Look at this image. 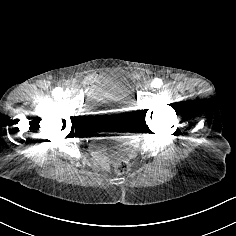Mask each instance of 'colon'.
Masks as SVG:
<instances>
[{
  "instance_id": "1",
  "label": "colon",
  "mask_w": 236,
  "mask_h": 236,
  "mask_svg": "<svg viewBox=\"0 0 236 236\" xmlns=\"http://www.w3.org/2000/svg\"><path fill=\"white\" fill-rule=\"evenodd\" d=\"M114 169L119 174L128 172L130 169L129 159L121 153H116L114 155Z\"/></svg>"
}]
</instances>
